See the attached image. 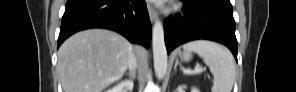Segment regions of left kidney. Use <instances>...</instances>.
<instances>
[{
    "label": "left kidney",
    "mask_w": 296,
    "mask_h": 92,
    "mask_svg": "<svg viewBox=\"0 0 296 92\" xmlns=\"http://www.w3.org/2000/svg\"><path fill=\"white\" fill-rule=\"evenodd\" d=\"M191 92H199L197 88H192Z\"/></svg>",
    "instance_id": "5707ae66"
}]
</instances>
